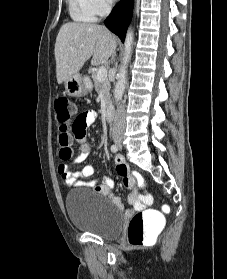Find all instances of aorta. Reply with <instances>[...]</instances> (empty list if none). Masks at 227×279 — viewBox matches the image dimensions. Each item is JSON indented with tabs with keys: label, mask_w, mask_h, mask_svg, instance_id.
<instances>
[{
	"label": "aorta",
	"mask_w": 227,
	"mask_h": 279,
	"mask_svg": "<svg viewBox=\"0 0 227 279\" xmlns=\"http://www.w3.org/2000/svg\"><path fill=\"white\" fill-rule=\"evenodd\" d=\"M133 39H134L133 32L132 30L129 29L124 44V56L122 59V65L120 66L119 71L117 73V82L114 88V98L116 102L122 99L126 87V79H127L126 68L131 58Z\"/></svg>",
	"instance_id": "1"
}]
</instances>
